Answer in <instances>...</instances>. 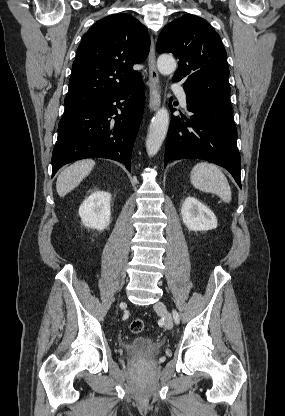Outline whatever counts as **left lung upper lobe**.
Returning a JSON list of instances; mask_svg holds the SVG:
<instances>
[{
	"label": "left lung upper lobe",
	"mask_w": 285,
	"mask_h": 416,
	"mask_svg": "<svg viewBox=\"0 0 285 416\" xmlns=\"http://www.w3.org/2000/svg\"><path fill=\"white\" fill-rule=\"evenodd\" d=\"M156 50L179 60L173 81L184 82L187 98L231 107L227 54L218 33L203 18L185 14L161 31Z\"/></svg>",
	"instance_id": "1"
}]
</instances>
